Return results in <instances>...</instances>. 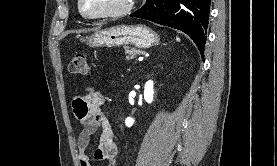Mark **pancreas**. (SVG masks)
Wrapping results in <instances>:
<instances>
[{
  "mask_svg": "<svg viewBox=\"0 0 277 166\" xmlns=\"http://www.w3.org/2000/svg\"><path fill=\"white\" fill-rule=\"evenodd\" d=\"M141 51L137 49H130V48H125V54H126V59L127 60H132L135 58L137 54H140Z\"/></svg>",
  "mask_w": 277,
  "mask_h": 166,
  "instance_id": "obj_1",
  "label": "pancreas"
}]
</instances>
